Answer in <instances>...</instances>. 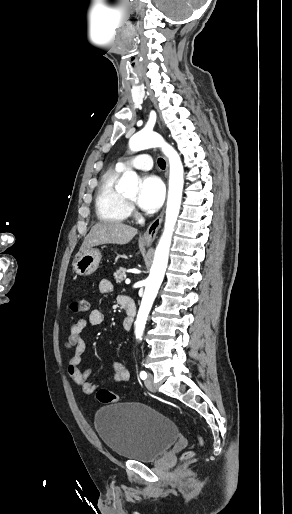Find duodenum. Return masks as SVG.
<instances>
[{"mask_svg":"<svg viewBox=\"0 0 292 514\" xmlns=\"http://www.w3.org/2000/svg\"><path fill=\"white\" fill-rule=\"evenodd\" d=\"M119 302L123 309L127 312V317L124 319L123 328L125 331H130L136 312L135 301L132 297L123 295L119 297Z\"/></svg>","mask_w":292,"mask_h":514,"instance_id":"obj_1","label":"duodenum"}]
</instances>
